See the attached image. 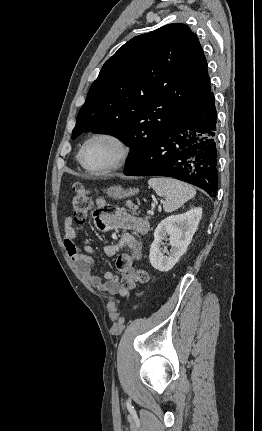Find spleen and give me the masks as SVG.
Wrapping results in <instances>:
<instances>
[{"instance_id": "spleen-1", "label": "spleen", "mask_w": 262, "mask_h": 431, "mask_svg": "<svg viewBox=\"0 0 262 431\" xmlns=\"http://www.w3.org/2000/svg\"><path fill=\"white\" fill-rule=\"evenodd\" d=\"M148 184L157 195L165 198L163 208L168 213L177 210L196 194L191 185L172 178L153 177Z\"/></svg>"}]
</instances>
